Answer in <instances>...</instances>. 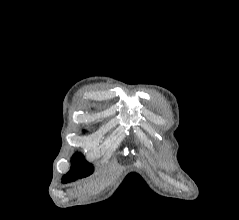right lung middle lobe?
I'll return each instance as SVG.
<instances>
[{
    "label": "right lung middle lobe",
    "instance_id": "1",
    "mask_svg": "<svg viewBox=\"0 0 239 220\" xmlns=\"http://www.w3.org/2000/svg\"><path fill=\"white\" fill-rule=\"evenodd\" d=\"M92 172V165L85 161L84 156L81 153H76L72 157V167L70 171L63 177V183L89 176Z\"/></svg>",
    "mask_w": 239,
    "mask_h": 220
}]
</instances>
